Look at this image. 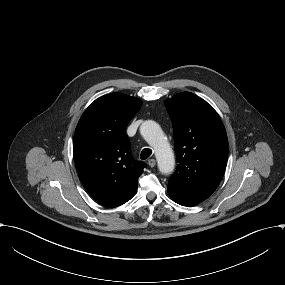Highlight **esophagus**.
Returning a JSON list of instances; mask_svg holds the SVG:
<instances>
[{
  "instance_id": "1",
  "label": "esophagus",
  "mask_w": 285,
  "mask_h": 285,
  "mask_svg": "<svg viewBox=\"0 0 285 285\" xmlns=\"http://www.w3.org/2000/svg\"><path fill=\"white\" fill-rule=\"evenodd\" d=\"M155 164H156L155 159L152 158V159H149V160H148V165H149L150 167H154Z\"/></svg>"
}]
</instances>
